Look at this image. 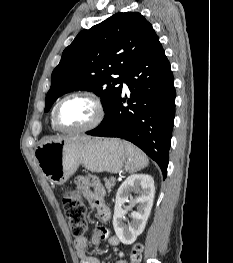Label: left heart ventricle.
<instances>
[{"instance_id":"obj_1","label":"left heart ventricle","mask_w":233,"mask_h":263,"mask_svg":"<svg viewBox=\"0 0 233 263\" xmlns=\"http://www.w3.org/2000/svg\"><path fill=\"white\" fill-rule=\"evenodd\" d=\"M96 113L87 98L75 97L65 101L59 110V122L65 128L77 129L89 124Z\"/></svg>"}]
</instances>
